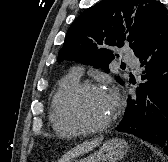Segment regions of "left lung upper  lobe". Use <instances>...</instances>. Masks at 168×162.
<instances>
[{"label":"left lung upper lobe","mask_w":168,"mask_h":162,"mask_svg":"<svg viewBox=\"0 0 168 162\" xmlns=\"http://www.w3.org/2000/svg\"><path fill=\"white\" fill-rule=\"evenodd\" d=\"M167 14L157 0H102L70 26L57 61L74 60L109 71L116 47L128 45L135 53Z\"/></svg>","instance_id":"5c2ea615"}]
</instances>
